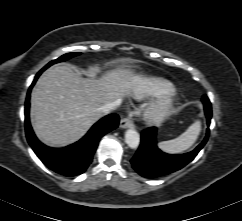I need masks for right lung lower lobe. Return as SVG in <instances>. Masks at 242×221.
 <instances>
[{
  "label": "right lung lower lobe",
  "mask_w": 242,
  "mask_h": 221,
  "mask_svg": "<svg viewBox=\"0 0 242 221\" xmlns=\"http://www.w3.org/2000/svg\"><path fill=\"white\" fill-rule=\"evenodd\" d=\"M44 70L38 72L31 84L25 101V130L27 140L39 159L51 170L64 175L76 176L84 173L90 163L100 138L118 127L119 117L110 114L99 120L78 142L64 148H50L35 136L29 121L30 92Z\"/></svg>",
  "instance_id": "98d812e1"
}]
</instances>
